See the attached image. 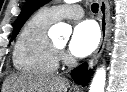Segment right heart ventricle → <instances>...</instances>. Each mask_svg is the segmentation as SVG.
Instances as JSON below:
<instances>
[{"instance_id":"right-heart-ventricle-1","label":"right heart ventricle","mask_w":127,"mask_h":92,"mask_svg":"<svg viewBox=\"0 0 127 92\" xmlns=\"http://www.w3.org/2000/svg\"><path fill=\"white\" fill-rule=\"evenodd\" d=\"M55 21L47 11L41 10L25 23L13 51V65L17 71L40 76L57 70L58 51L47 34Z\"/></svg>"}]
</instances>
